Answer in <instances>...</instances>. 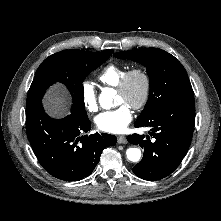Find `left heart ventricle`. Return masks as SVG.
I'll return each instance as SVG.
<instances>
[{
    "mask_svg": "<svg viewBox=\"0 0 221 221\" xmlns=\"http://www.w3.org/2000/svg\"><path fill=\"white\" fill-rule=\"evenodd\" d=\"M143 91V81L140 77H134L129 85V88L126 93L122 94L117 92V103L118 104H127L131 107L132 104L136 103Z\"/></svg>",
    "mask_w": 221,
    "mask_h": 221,
    "instance_id": "b2bd125f",
    "label": "left heart ventricle"
}]
</instances>
